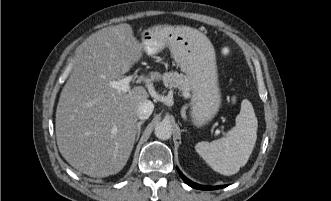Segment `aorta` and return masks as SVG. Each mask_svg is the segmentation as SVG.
<instances>
[{
  "mask_svg": "<svg viewBox=\"0 0 331 201\" xmlns=\"http://www.w3.org/2000/svg\"><path fill=\"white\" fill-rule=\"evenodd\" d=\"M154 133L158 139L167 140L172 135V127L168 122H160L155 126Z\"/></svg>",
  "mask_w": 331,
  "mask_h": 201,
  "instance_id": "aorta-1",
  "label": "aorta"
}]
</instances>
